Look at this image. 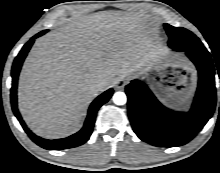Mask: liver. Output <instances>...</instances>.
Returning a JSON list of instances; mask_svg holds the SVG:
<instances>
[{
  "mask_svg": "<svg viewBox=\"0 0 220 173\" xmlns=\"http://www.w3.org/2000/svg\"><path fill=\"white\" fill-rule=\"evenodd\" d=\"M149 21L147 14L94 13L39 39L19 83L26 122L43 135L76 129L84 108L116 76L135 74L143 41L152 32ZM95 79L106 85L94 87Z\"/></svg>",
  "mask_w": 220,
  "mask_h": 173,
  "instance_id": "liver-1",
  "label": "liver"
}]
</instances>
